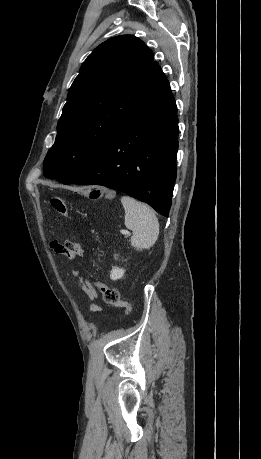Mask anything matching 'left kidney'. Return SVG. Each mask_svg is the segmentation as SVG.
Masks as SVG:
<instances>
[{"instance_id": "5707ae66", "label": "left kidney", "mask_w": 261, "mask_h": 459, "mask_svg": "<svg viewBox=\"0 0 261 459\" xmlns=\"http://www.w3.org/2000/svg\"><path fill=\"white\" fill-rule=\"evenodd\" d=\"M125 270L118 268V267H113L110 273V278L112 280H117L123 277Z\"/></svg>"}]
</instances>
